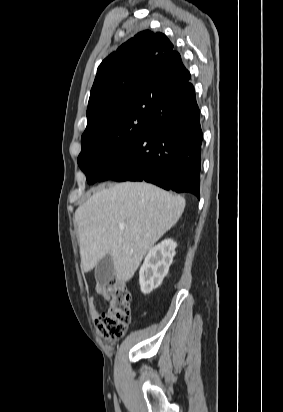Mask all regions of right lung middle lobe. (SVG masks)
I'll return each mask as SVG.
<instances>
[{"instance_id": "1", "label": "right lung middle lobe", "mask_w": 283, "mask_h": 412, "mask_svg": "<svg viewBox=\"0 0 283 412\" xmlns=\"http://www.w3.org/2000/svg\"><path fill=\"white\" fill-rule=\"evenodd\" d=\"M158 101L135 104L110 116L82 135L78 165L87 182L94 184L103 172L129 150L151 117L162 108Z\"/></svg>"}]
</instances>
